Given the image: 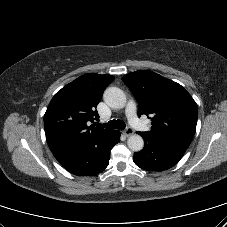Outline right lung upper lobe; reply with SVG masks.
I'll return each mask as SVG.
<instances>
[{"mask_svg": "<svg viewBox=\"0 0 227 227\" xmlns=\"http://www.w3.org/2000/svg\"><path fill=\"white\" fill-rule=\"evenodd\" d=\"M113 80L112 75L85 74L54 95L44 115L46 140L53 154L112 131L88 124L99 120L96 106Z\"/></svg>", "mask_w": 227, "mask_h": 227, "instance_id": "right-lung-upper-lobe-1", "label": "right lung upper lobe"}]
</instances>
